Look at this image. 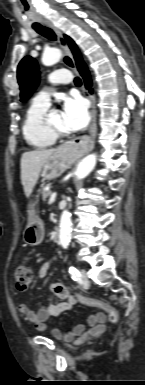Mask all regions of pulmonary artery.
<instances>
[{
	"instance_id": "1",
	"label": "pulmonary artery",
	"mask_w": 145,
	"mask_h": 385,
	"mask_svg": "<svg viewBox=\"0 0 145 385\" xmlns=\"http://www.w3.org/2000/svg\"><path fill=\"white\" fill-rule=\"evenodd\" d=\"M49 78L53 83H59V84H66L72 80V76L70 75V73H68V71L64 69L53 71L49 75ZM50 96H51V91L49 89L42 90L35 96L34 102L49 106Z\"/></svg>"
}]
</instances>
